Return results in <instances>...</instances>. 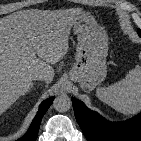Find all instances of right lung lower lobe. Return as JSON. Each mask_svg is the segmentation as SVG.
<instances>
[{
  "instance_id": "98d812e1",
  "label": "right lung lower lobe",
  "mask_w": 141,
  "mask_h": 141,
  "mask_svg": "<svg viewBox=\"0 0 141 141\" xmlns=\"http://www.w3.org/2000/svg\"><path fill=\"white\" fill-rule=\"evenodd\" d=\"M53 99L54 97H51L45 100L44 102H42V104L40 105L39 111L36 117L34 118L28 132L21 139L17 141H35L38 134L39 127H40L41 119L43 115L46 113Z\"/></svg>"
}]
</instances>
